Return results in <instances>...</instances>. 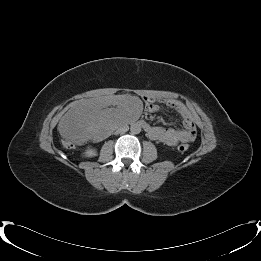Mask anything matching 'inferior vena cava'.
<instances>
[{
	"label": "inferior vena cava",
	"mask_w": 261,
	"mask_h": 261,
	"mask_svg": "<svg viewBox=\"0 0 261 261\" xmlns=\"http://www.w3.org/2000/svg\"><path fill=\"white\" fill-rule=\"evenodd\" d=\"M129 130V126L127 124H121L119 128L117 129V132L119 134H123Z\"/></svg>",
	"instance_id": "1"
}]
</instances>
